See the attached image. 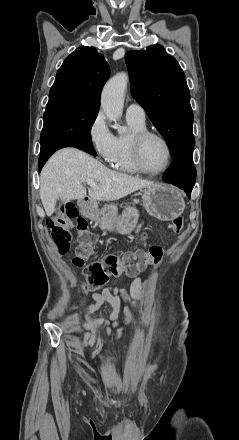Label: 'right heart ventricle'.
Here are the masks:
<instances>
[{"instance_id":"1","label":"right heart ventricle","mask_w":239,"mask_h":440,"mask_svg":"<svg viewBox=\"0 0 239 440\" xmlns=\"http://www.w3.org/2000/svg\"><path fill=\"white\" fill-rule=\"evenodd\" d=\"M129 122L132 126V133L117 137V153L111 163L119 171L138 174L140 171L136 168L131 154V138L135 132L145 129L146 125L145 122L139 123L133 120H129Z\"/></svg>"}]
</instances>
